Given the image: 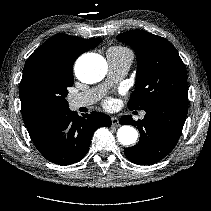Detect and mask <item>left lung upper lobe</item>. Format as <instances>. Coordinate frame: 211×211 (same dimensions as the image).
Segmentation results:
<instances>
[{
	"mask_svg": "<svg viewBox=\"0 0 211 211\" xmlns=\"http://www.w3.org/2000/svg\"><path fill=\"white\" fill-rule=\"evenodd\" d=\"M131 46L137 56L135 90L128 102L130 110L147 108L168 98H188L187 72L176 48L165 38L143 30L117 36Z\"/></svg>",
	"mask_w": 211,
	"mask_h": 211,
	"instance_id": "1",
	"label": "left lung upper lobe"
}]
</instances>
